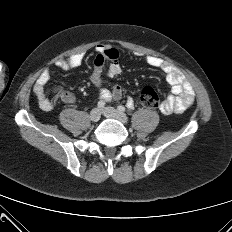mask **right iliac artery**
<instances>
[{"label": "right iliac artery", "instance_id": "right-iliac-artery-1", "mask_svg": "<svg viewBox=\"0 0 232 232\" xmlns=\"http://www.w3.org/2000/svg\"><path fill=\"white\" fill-rule=\"evenodd\" d=\"M98 108L102 109L105 106V102L103 100H100L97 104Z\"/></svg>", "mask_w": 232, "mask_h": 232}]
</instances>
